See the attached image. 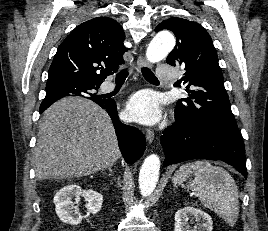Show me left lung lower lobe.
Listing matches in <instances>:
<instances>
[{
	"instance_id": "left-lung-lower-lobe-1",
	"label": "left lung lower lobe",
	"mask_w": 268,
	"mask_h": 231,
	"mask_svg": "<svg viewBox=\"0 0 268 231\" xmlns=\"http://www.w3.org/2000/svg\"><path fill=\"white\" fill-rule=\"evenodd\" d=\"M161 144L166 166L191 159H221L247 178L242 137L224 129L187 124L176 117L163 131Z\"/></svg>"
}]
</instances>
